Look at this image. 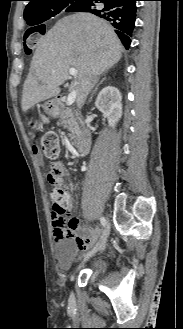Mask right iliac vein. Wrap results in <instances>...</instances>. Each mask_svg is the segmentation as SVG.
Returning <instances> with one entry per match:
<instances>
[{
	"instance_id": "1",
	"label": "right iliac vein",
	"mask_w": 183,
	"mask_h": 329,
	"mask_svg": "<svg viewBox=\"0 0 183 329\" xmlns=\"http://www.w3.org/2000/svg\"><path fill=\"white\" fill-rule=\"evenodd\" d=\"M109 234H110V226H109V223H108V220H107L106 221V227H105V229L102 233V236H101L100 240L98 241L96 246L85 255L82 264H84L92 256H94L98 251L102 250L105 247V244H106V241H107V238H108ZM71 298L73 299V294H71Z\"/></svg>"
}]
</instances>
